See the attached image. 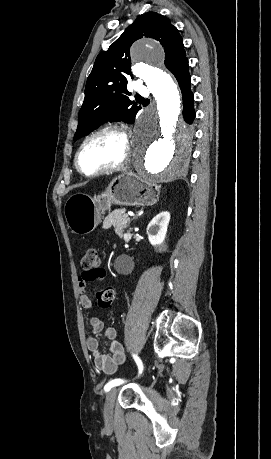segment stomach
<instances>
[{
  "label": "stomach",
  "mask_w": 271,
  "mask_h": 459,
  "mask_svg": "<svg viewBox=\"0 0 271 459\" xmlns=\"http://www.w3.org/2000/svg\"><path fill=\"white\" fill-rule=\"evenodd\" d=\"M159 196L160 188L154 180L140 178L134 172H122L100 196L91 198L87 194H73L65 204L64 216L73 233L85 235L97 228L104 210H109L111 204L153 206Z\"/></svg>",
  "instance_id": "0dacf381"
}]
</instances>
